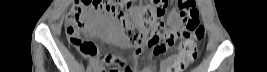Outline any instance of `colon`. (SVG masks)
Wrapping results in <instances>:
<instances>
[{
    "label": "colon",
    "mask_w": 267,
    "mask_h": 72,
    "mask_svg": "<svg viewBox=\"0 0 267 72\" xmlns=\"http://www.w3.org/2000/svg\"><path fill=\"white\" fill-rule=\"evenodd\" d=\"M132 0H76L69 8L66 16V35L71 45L75 46L81 54H89L93 45L89 43L84 33L88 28L86 12L92 11L109 17L117 35L123 36L130 45L140 46L146 44L154 49L155 54L163 53L171 46L175 37L172 31L165 27L164 17L168 11L170 1L161 0L142 10L141 27L129 23L127 15L130 12ZM179 9L182 17V36L184 41L180 44L179 53L173 64L174 72H181L197 58L198 42L204 37V28L197 16L198 11L192 0H180ZM121 28L122 33L117 29ZM100 60L110 66V72L121 71L120 64L109 55Z\"/></svg>",
    "instance_id": "5ec220e1"
}]
</instances>
